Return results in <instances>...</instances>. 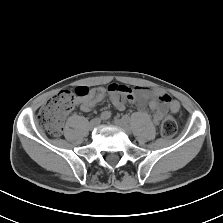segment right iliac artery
I'll use <instances>...</instances> for the list:
<instances>
[{
	"instance_id": "right-iliac-artery-1",
	"label": "right iliac artery",
	"mask_w": 223,
	"mask_h": 223,
	"mask_svg": "<svg viewBox=\"0 0 223 223\" xmlns=\"http://www.w3.org/2000/svg\"><path fill=\"white\" fill-rule=\"evenodd\" d=\"M110 117H111V113L108 112V111H104V112H102L101 115H100V118H101L102 120H107V119H109Z\"/></svg>"
}]
</instances>
